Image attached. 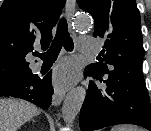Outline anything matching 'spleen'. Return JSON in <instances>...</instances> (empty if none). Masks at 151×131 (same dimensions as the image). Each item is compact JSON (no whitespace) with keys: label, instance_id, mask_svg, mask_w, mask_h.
Returning <instances> with one entry per match:
<instances>
[{"label":"spleen","instance_id":"1","mask_svg":"<svg viewBox=\"0 0 151 131\" xmlns=\"http://www.w3.org/2000/svg\"><path fill=\"white\" fill-rule=\"evenodd\" d=\"M111 131H141V129L131 125L114 126Z\"/></svg>","mask_w":151,"mask_h":131}]
</instances>
